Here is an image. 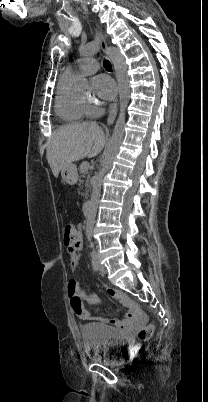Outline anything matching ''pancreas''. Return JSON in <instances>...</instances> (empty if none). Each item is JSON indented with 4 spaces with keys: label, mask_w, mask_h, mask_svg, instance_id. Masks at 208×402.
<instances>
[{
    "label": "pancreas",
    "mask_w": 208,
    "mask_h": 402,
    "mask_svg": "<svg viewBox=\"0 0 208 402\" xmlns=\"http://www.w3.org/2000/svg\"><path fill=\"white\" fill-rule=\"evenodd\" d=\"M79 172L82 174V178H87L84 194L85 198H87V196H90L91 194L90 174H88L87 170H84L83 166H80Z\"/></svg>",
    "instance_id": "1"
}]
</instances>
